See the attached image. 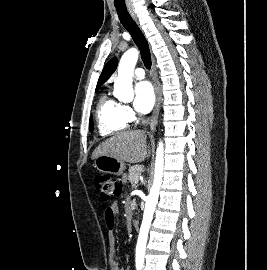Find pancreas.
<instances>
[{
  "label": "pancreas",
  "instance_id": "cf45deb5",
  "mask_svg": "<svg viewBox=\"0 0 267 270\" xmlns=\"http://www.w3.org/2000/svg\"><path fill=\"white\" fill-rule=\"evenodd\" d=\"M143 171V166L142 165H134L129 168V175H128V180L132 184V186L135 185V180L138 178Z\"/></svg>",
  "mask_w": 267,
  "mask_h": 270
}]
</instances>
